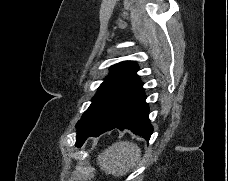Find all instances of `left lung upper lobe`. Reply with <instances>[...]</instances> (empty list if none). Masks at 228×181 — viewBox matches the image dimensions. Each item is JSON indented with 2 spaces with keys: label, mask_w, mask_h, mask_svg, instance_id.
I'll use <instances>...</instances> for the list:
<instances>
[{
  "label": "left lung upper lobe",
  "mask_w": 228,
  "mask_h": 181,
  "mask_svg": "<svg viewBox=\"0 0 228 181\" xmlns=\"http://www.w3.org/2000/svg\"><path fill=\"white\" fill-rule=\"evenodd\" d=\"M110 70V75L100 85L91 105L76 124L77 133L119 123L141 84L135 62L124 61L113 65Z\"/></svg>",
  "instance_id": "left-lung-upper-lobe-1"
}]
</instances>
